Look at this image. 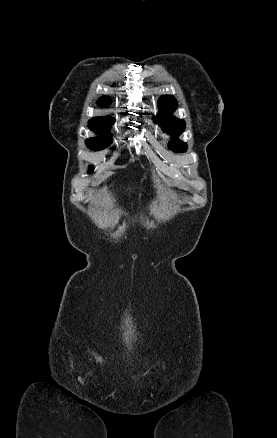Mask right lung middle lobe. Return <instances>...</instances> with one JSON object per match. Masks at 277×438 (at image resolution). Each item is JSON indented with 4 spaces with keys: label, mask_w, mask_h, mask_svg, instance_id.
Masks as SVG:
<instances>
[{
    "label": "right lung middle lobe",
    "mask_w": 277,
    "mask_h": 438,
    "mask_svg": "<svg viewBox=\"0 0 277 438\" xmlns=\"http://www.w3.org/2000/svg\"><path fill=\"white\" fill-rule=\"evenodd\" d=\"M110 128H111L110 126L101 127V128H91L93 131L100 134L101 137L90 138L86 140V145L94 151L104 149L110 143V137H111L109 133Z\"/></svg>",
    "instance_id": "1"
}]
</instances>
